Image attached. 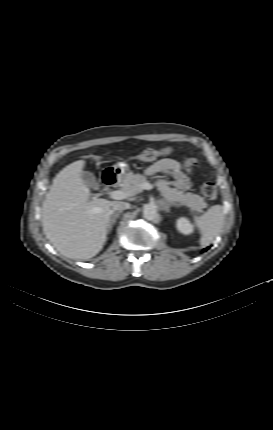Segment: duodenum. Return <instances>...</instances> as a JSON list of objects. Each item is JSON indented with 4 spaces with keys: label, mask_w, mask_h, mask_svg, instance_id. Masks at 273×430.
<instances>
[{
    "label": "duodenum",
    "mask_w": 273,
    "mask_h": 430,
    "mask_svg": "<svg viewBox=\"0 0 273 430\" xmlns=\"http://www.w3.org/2000/svg\"><path fill=\"white\" fill-rule=\"evenodd\" d=\"M102 180H103L104 184L109 186V187L116 185L118 182V178H117L116 174H114L112 172L105 173L103 175Z\"/></svg>",
    "instance_id": "obj_1"
}]
</instances>
